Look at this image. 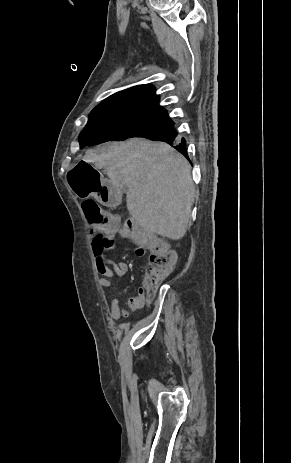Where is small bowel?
I'll use <instances>...</instances> for the list:
<instances>
[{
  "label": "small bowel",
  "mask_w": 291,
  "mask_h": 463,
  "mask_svg": "<svg viewBox=\"0 0 291 463\" xmlns=\"http://www.w3.org/2000/svg\"><path fill=\"white\" fill-rule=\"evenodd\" d=\"M91 248L93 251L94 260L97 271L100 275L98 283L101 287L111 289L113 287L112 279L114 277H123L128 271V265L124 261L107 260L105 258V250H114L116 244L113 241V236L107 233L93 236L91 239ZM136 256H143L144 251L136 246L134 249ZM146 302L143 289H139L134 297H131L126 307L121 305L117 297L111 300L110 315L113 320H119L123 316L135 312L137 309L144 307Z\"/></svg>",
  "instance_id": "obj_1"
}]
</instances>
